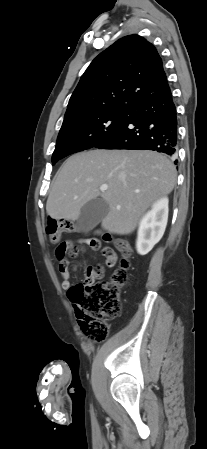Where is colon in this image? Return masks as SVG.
Masks as SVG:
<instances>
[{
	"mask_svg": "<svg viewBox=\"0 0 207 449\" xmlns=\"http://www.w3.org/2000/svg\"><path fill=\"white\" fill-rule=\"evenodd\" d=\"M77 230L70 220H51L46 225V234L51 242L57 243L56 256L59 265L67 266L69 258H75L85 246L94 250H101L106 266L115 264L114 251L110 247L101 248V240L94 236L82 242H60L63 233H72ZM102 235L105 241H110L108 233L96 232ZM116 250L121 254L120 268H118L108 281L85 280L68 289L67 295L73 303L79 324L84 333L95 341L105 339L109 334L107 320L116 319L121 310L120 294L123 288L130 283L127 271L132 267V247L127 239H113ZM97 277L103 273V267L98 266Z\"/></svg>",
	"mask_w": 207,
	"mask_h": 449,
	"instance_id": "5ec220e1",
	"label": "colon"
}]
</instances>
